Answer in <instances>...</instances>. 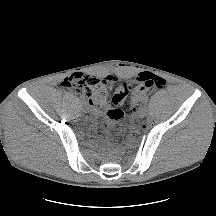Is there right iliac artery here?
<instances>
[{
  "mask_svg": "<svg viewBox=\"0 0 216 216\" xmlns=\"http://www.w3.org/2000/svg\"><path fill=\"white\" fill-rule=\"evenodd\" d=\"M79 105L82 107V110H83V111H86V110H87L86 104L84 103V100H83V99H80V100H79Z\"/></svg>",
  "mask_w": 216,
  "mask_h": 216,
  "instance_id": "1",
  "label": "right iliac artery"
}]
</instances>
